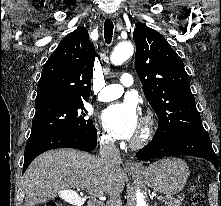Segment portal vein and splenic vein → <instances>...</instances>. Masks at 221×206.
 <instances>
[{"label": "portal vein and splenic vein", "mask_w": 221, "mask_h": 206, "mask_svg": "<svg viewBox=\"0 0 221 206\" xmlns=\"http://www.w3.org/2000/svg\"><path fill=\"white\" fill-rule=\"evenodd\" d=\"M88 194L94 196V197H98L99 199H103V193L101 191H98L96 189H89L88 191ZM158 200L162 201L163 200V197L162 196H159L158 197Z\"/></svg>", "instance_id": "1"}]
</instances>
